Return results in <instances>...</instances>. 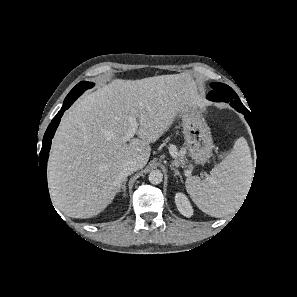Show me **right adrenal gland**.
<instances>
[{
    "instance_id": "obj_1",
    "label": "right adrenal gland",
    "mask_w": 297,
    "mask_h": 297,
    "mask_svg": "<svg viewBox=\"0 0 297 297\" xmlns=\"http://www.w3.org/2000/svg\"><path fill=\"white\" fill-rule=\"evenodd\" d=\"M126 182H127V179H125V180L123 181V184H122L121 188H120L119 191H118V192L123 191V193H124L123 196L126 195Z\"/></svg>"
}]
</instances>
